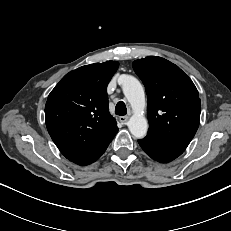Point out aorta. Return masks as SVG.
I'll return each mask as SVG.
<instances>
[{
	"label": "aorta",
	"mask_w": 231,
	"mask_h": 231,
	"mask_svg": "<svg viewBox=\"0 0 231 231\" xmlns=\"http://www.w3.org/2000/svg\"><path fill=\"white\" fill-rule=\"evenodd\" d=\"M121 81L123 93L133 110V115L128 121V128L134 137L143 138L148 130V123L144 116L145 94L143 87L131 75L121 76Z\"/></svg>",
	"instance_id": "762f6f07"
}]
</instances>
